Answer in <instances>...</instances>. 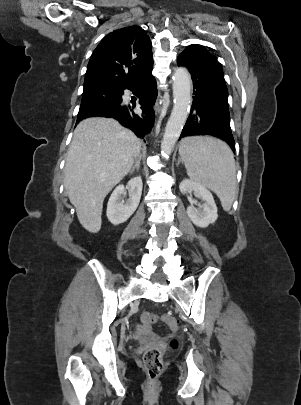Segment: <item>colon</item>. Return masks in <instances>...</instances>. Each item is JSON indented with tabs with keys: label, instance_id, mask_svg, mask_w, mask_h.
I'll list each match as a JSON object with an SVG mask.
<instances>
[{
	"label": "colon",
	"instance_id": "1",
	"mask_svg": "<svg viewBox=\"0 0 301 405\" xmlns=\"http://www.w3.org/2000/svg\"><path fill=\"white\" fill-rule=\"evenodd\" d=\"M160 318L166 321L171 328L173 329L177 328V322L174 318L170 316H162ZM158 319L159 316L149 312H144L140 316V320L142 324L145 326H150L156 323ZM178 345L179 342L177 338L170 339L169 341L170 349L175 350L178 348ZM143 366L148 374L149 380L151 382H154L158 378V376L162 373L164 368L162 350L158 347H152L148 349L143 355Z\"/></svg>",
	"mask_w": 301,
	"mask_h": 405
}]
</instances>
